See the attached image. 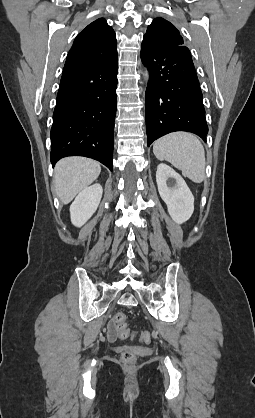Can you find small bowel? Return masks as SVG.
<instances>
[{
    "mask_svg": "<svg viewBox=\"0 0 255 418\" xmlns=\"http://www.w3.org/2000/svg\"><path fill=\"white\" fill-rule=\"evenodd\" d=\"M108 338L113 340L117 337V329L114 325V323H111L108 327Z\"/></svg>",
    "mask_w": 255,
    "mask_h": 418,
    "instance_id": "small-bowel-1",
    "label": "small bowel"
}]
</instances>
